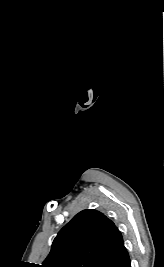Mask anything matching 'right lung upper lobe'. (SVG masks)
Here are the masks:
<instances>
[{"label":"right lung upper lobe","instance_id":"cb5924a9","mask_svg":"<svg viewBox=\"0 0 164 267\" xmlns=\"http://www.w3.org/2000/svg\"><path fill=\"white\" fill-rule=\"evenodd\" d=\"M123 247V237L110 219L83 210L60 230L42 267H99Z\"/></svg>","mask_w":164,"mask_h":267}]
</instances>
